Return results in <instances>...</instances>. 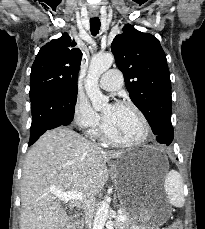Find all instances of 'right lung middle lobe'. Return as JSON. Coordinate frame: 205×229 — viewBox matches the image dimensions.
I'll return each instance as SVG.
<instances>
[{
	"label": "right lung middle lobe",
	"mask_w": 205,
	"mask_h": 229,
	"mask_svg": "<svg viewBox=\"0 0 205 229\" xmlns=\"http://www.w3.org/2000/svg\"><path fill=\"white\" fill-rule=\"evenodd\" d=\"M66 92L69 93L74 98L77 97V87L76 86H68Z\"/></svg>",
	"instance_id": "dd1d6c3e"
}]
</instances>
